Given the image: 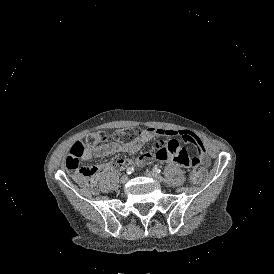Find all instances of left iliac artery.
<instances>
[{"instance_id":"obj_1","label":"left iliac artery","mask_w":274,"mask_h":274,"mask_svg":"<svg viewBox=\"0 0 274 274\" xmlns=\"http://www.w3.org/2000/svg\"><path fill=\"white\" fill-rule=\"evenodd\" d=\"M153 171L156 172V173H160V172H161V169L155 166V167L153 168Z\"/></svg>"}]
</instances>
